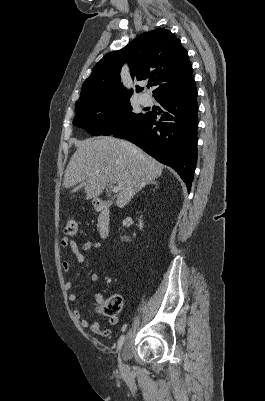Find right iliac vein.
<instances>
[{
	"label": "right iliac vein",
	"instance_id": "obj_1",
	"mask_svg": "<svg viewBox=\"0 0 265 401\" xmlns=\"http://www.w3.org/2000/svg\"><path fill=\"white\" fill-rule=\"evenodd\" d=\"M118 361H119V369H120V371L123 374L127 373L129 371V369H128L126 363L124 362V358H123L122 354L119 355Z\"/></svg>",
	"mask_w": 265,
	"mask_h": 401
}]
</instances>
